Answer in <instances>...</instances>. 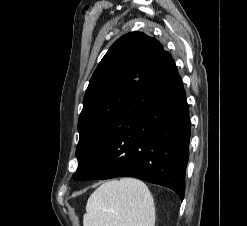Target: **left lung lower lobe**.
<instances>
[{"label": "left lung lower lobe", "mask_w": 247, "mask_h": 226, "mask_svg": "<svg viewBox=\"0 0 247 226\" xmlns=\"http://www.w3.org/2000/svg\"><path fill=\"white\" fill-rule=\"evenodd\" d=\"M189 139L183 83L163 50L87 158L80 180L131 176L168 187L183 200Z\"/></svg>", "instance_id": "obj_1"}]
</instances>
